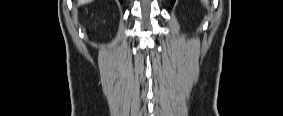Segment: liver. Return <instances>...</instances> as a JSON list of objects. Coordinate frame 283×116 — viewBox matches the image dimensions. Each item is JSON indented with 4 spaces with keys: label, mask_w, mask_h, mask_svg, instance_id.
<instances>
[{
    "label": "liver",
    "mask_w": 283,
    "mask_h": 116,
    "mask_svg": "<svg viewBox=\"0 0 283 116\" xmlns=\"http://www.w3.org/2000/svg\"><path fill=\"white\" fill-rule=\"evenodd\" d=\"M89 2H91V0H77V3H78L79 5H81V4H86V3H89Z\"/></svg>",
    "instance_id": "6515ba94"
}]
</instances>
